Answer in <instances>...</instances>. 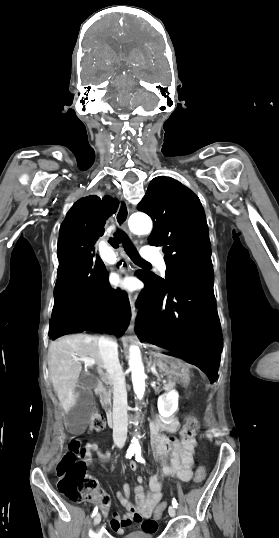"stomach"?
I'll return each instance as SVG.
<instances>
[{
  "mask_svg": "<svg viewBox=\"0 0 279 538\" xmlns=\"http://www.w3.org/2000/svg\"><path fill=\"white\" fill-rule=\"evenodd\" d=\"M154 364L159 366L161 374H172L173 382H184L186 374H189V363H185L184 358H179L178 353H156L152 352Z\"/></svg>",
  "mask_w": 279,
  "mask_h": 538,
  "instance_id": "1",
  "label": "stomach"
}]
</instances>
